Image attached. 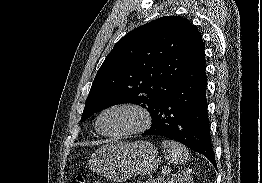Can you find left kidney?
Returning a JSON list of instances; mask_svg holds the SVG:
<instances>
[{"label":"left kidney","instance_id":"1","mask_svg":"<svg viewBox=\"0 0 262 183\" xmlns=\"http://www.w3.org/2000/svg\"><path fill=\"white\" fill-rule=\"evenodd\" d=\"M164 183H194L193 174L191 169L180 170L170 178H168Z\"/></svg>","mask_w":262,"mask_h":183}]
</instances>
